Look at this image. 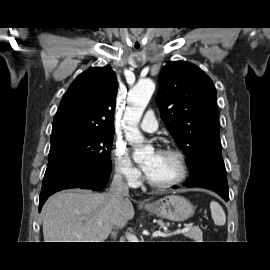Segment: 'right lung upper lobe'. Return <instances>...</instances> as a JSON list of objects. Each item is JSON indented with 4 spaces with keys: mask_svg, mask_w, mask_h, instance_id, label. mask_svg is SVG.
Here are the masks:
<instances>
[{
    "mask_svg": "<svg viewBox=\"0 0 270 270\" xmlns=\"http://www.w3.org/2000/svg\"><path fill=\"white\" fill-rule=\"evenodd\" d=\"M118 83L109 66L84 71L70 85L54 117L53 129L76 127L113 131Z\"/></svg>",
    "mask_w": 270,
    "mask_h": 270,
    "instance_id": "obj_1",
    "label": "right lung upper lobe"
}]
</instances>
